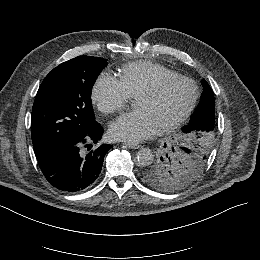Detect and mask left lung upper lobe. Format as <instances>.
I'll use <instances>...</instances> for the list:
<instances>
[{
    "label": "left lung upper lobe",
    "instance_id": "left-lung-upper-lobe-1",
    "mask_svg": "<svg viewBox=\"0 0 260 260\" xmlns=\"http://www.w3.org/2000/svg\"><path fill=\"white\" fill-rule=\"evenodd\" d=\"M200 99L215 102L209 84L203 79ZM215 129L191 131L189 125L173 142L164 144L157 158L142 170L144 181L161 191L173 192L191 184L205 168L212 153Z\"/></svg>",
    "mask_w": 260,
    "mask_h": 260
}]
</instances>
